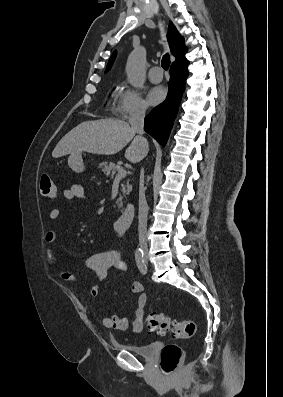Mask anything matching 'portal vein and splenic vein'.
<instances>
[{
  "label": "portal vein and splenic vein",
  "instance_id": "portal-vein-and-splenic-vein-1",
  "mask_svg": "<svg viewBox=\"0 0 283 397\" xmlns=\"http://www.w3.org/2000/svg\"><path fill=\"white\" fill-rule=\"evenodd\" d=\"M126 176V170H124L123 168L119 169L116 176H115V180H120L122 178H124Z\"/></svg>",
  "mask_w": 283,
  "mask_h": 397
}]
</instances>
